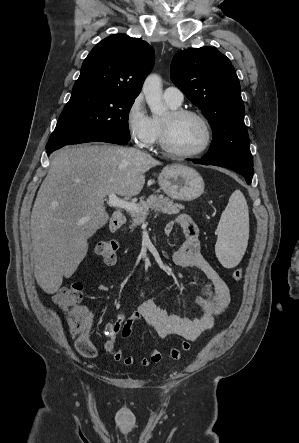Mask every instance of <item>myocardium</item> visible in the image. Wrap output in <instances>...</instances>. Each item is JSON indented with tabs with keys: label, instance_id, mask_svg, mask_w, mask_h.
Listing matches in <instances>:
<instances>
[{
	"label": "myocardium",
	"instance_id": "1",
	"mask_svg": "<svg viewBox=\"0 0 299 443\" xmlns=\"http://www.w3.org/2000/svg\"><path fill=\"white\" fill-rule=\"evenodd\" d=\"M169 116H170L171 120L179 119V118H182L185 116H194V117L198 118L202 122V124L205 128L206 135H205V140H204L203 144L197 150L192 151V152H179V151L173 150L169 146V144H168L169 124L167 122L161 120L160 121V134H159L158 144H159V147L163 153H165L168 156L174 157V158L190 159V158L198 157V156L202 155L204 152H206V150L211 145L213 133H212V127L210 125V122L204 114H202L201 112H199L197 110H193V109L177 108V109H172L169 112Z\"/></svg>",
	"mask_w": 299,
	"mask_h": 443
}]
</instances>
